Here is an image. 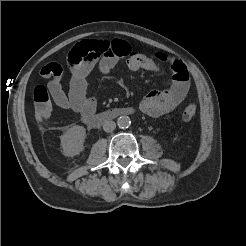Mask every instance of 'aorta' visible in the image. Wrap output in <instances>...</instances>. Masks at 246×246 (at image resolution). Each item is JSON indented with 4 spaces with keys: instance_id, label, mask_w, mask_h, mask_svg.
Listing matches in <instances>:
<instances>
[{
    "instance_id": "obj_1",
    "label": "aorta",
    "mask_w": 246,
    "mask_h": 246,
    "mask_svg": "<svg viewBox=\"0 0 246 246\" xmlns=\"http://www.w3.org/2000/svg\"><path fill=\"white\" fill-rule=\"evenodd\" d=\"M117 124H118L119 128L126 129L130 126L131 121H130V118L128 116H120L118 118Z\"/></svg>"
}]
</instances>
